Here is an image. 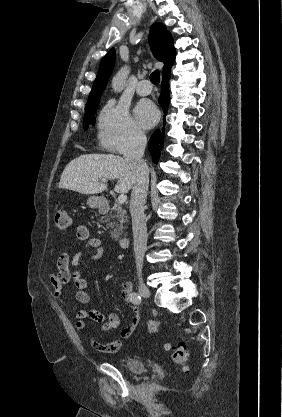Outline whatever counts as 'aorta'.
<instances>
[{
    "mask_svg": "<svg viewBox=\"0 0 282 417\" xmlns=\"http://www.w3.org/2000/svg\"><path fill=\"white\" fill-rule=\"evenodd\" d=\"M129 70H130L129 66L125 64V66H122V68H120V70L116 72L115 76H113L111 84L115 92H120V90H123L124 88L123 82H125V78H127L129 74Z\"/></svg>",
    "mask_w": 282,
    "mask_h": 417,
    "instance_id": "obj_1",
    "label": "aorta"
}]
</instances>
